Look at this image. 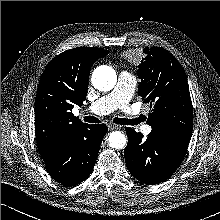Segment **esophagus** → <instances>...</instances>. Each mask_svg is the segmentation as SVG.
<instances>
[{
	"label": "esophagus",
	"instance_id": "1",
	"mask_svg": "<svg viewBox=\"0 0 220 220\" xmlns=\"http://www.w3.org/2000/svg\"><path fill=\"white\" fill-rule=\"evenodd\" d=\"M119 126L118 125H115V124H108V129L111 131V130H115V129H118Z\"/></svg>",
	"mask_w": 220,
	"mask_h": 220
}]
</instances>
